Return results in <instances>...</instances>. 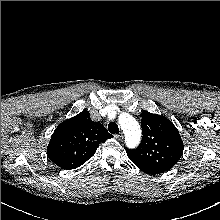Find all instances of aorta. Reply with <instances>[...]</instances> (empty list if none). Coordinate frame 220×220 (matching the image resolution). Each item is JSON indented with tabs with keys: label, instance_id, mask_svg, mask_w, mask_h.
<instances>
[{
	"label": "aorta",
	"instance_id": "obj_1",
	"mask_svg": "<svg viewBox=\"0 0 220 220\" xmlns=\"http://www.w3.org/2000/svg\"><path fill=\"white\" fill-rule=\"evenodd\" d=\"M119 124L125 134V143L129 148H135L141 140L139 123L128 113L119 116Z\"/></svg>",
	"mask_w": 220,
	"mask_h": 220
}]
</instances>
